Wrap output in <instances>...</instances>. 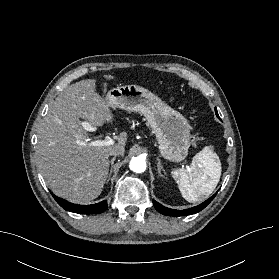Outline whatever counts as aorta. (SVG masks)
I'll list each match as a JSON object with an SVG mask.
<instances>
[{
	"label": "aorta",
	"instance_id": "1",
	"mask_svg": "<svg viewBox=\"0 0 279 279\" xmlns=\"http://www.w3.org/2000/svg\"><path fill=\"white\" fill-rule=\"evenodd\" d=\"M130 170L136 173H142L146 170V161L143 157H132L130 164Z\"/></svg>",
	"mask_w": 279,
	"mask_h": 279
}]
</instances>
